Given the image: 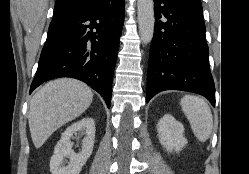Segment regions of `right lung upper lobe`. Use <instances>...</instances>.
Masks as SVG:
<instances>
[{
    "instance_id": "1",
    "label": "right lung upper lobe",
    "mask_w": 249,
    "mask_h": 174,
    "mask_svg": "<svg viewBox=\"0 0 249 174\" xmlns=\"http://www.w3.org/2000/svg\"><path fill=\"white\" fill-rule=\"evenodd\" d=\"M115 1L117 0H56L50 25L77 14L105 8Z\"/></svg>"
}]
</instances>
